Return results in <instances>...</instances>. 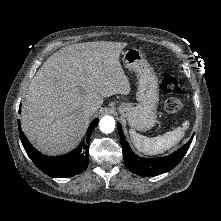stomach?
Masks as SVG:
<instances>
[{
	"instance_id": "1",
	"label": "stomach",
	"mask_w": 221,
	"mask_h": 221,
	"mask_svg": "<svg viewBox=\"0 0 221 221\" xmlns=\"http://www.w3.org/2000/svg\"><path fill=\"white\" fill-rule=\"evenodd\" d=\"M124 67L135 72L138 77L137 103H121L119 113L125 117L128 124L139 131H146L157 122V107L159 103L158 79L138 49L131 48L123 52Z\"/></svg>"
}]
</instances>
